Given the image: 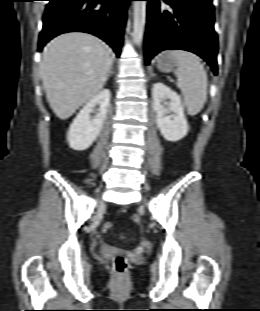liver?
<instances>
[{"label": "liver", "instance_id": "liver-1", "mask_svg": "<svg viewBox=\"0 0 260 311\" xmlns=\"http://www.w3.org/2000/svg\"><path fill=\"white\" fill-rule=\"evenodd\" d=\"M111 52L101 39L81 32L62 34L47 45L40 75L58 118L68 119L99 93L113 62Z\"/></svg>", "mask_w": 260, "mask_h": 311}]
</instances>
